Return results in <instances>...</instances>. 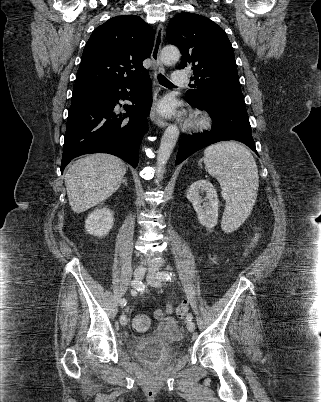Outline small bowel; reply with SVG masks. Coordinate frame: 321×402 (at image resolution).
<instances>
[{"instance_id": "obj_1", "label": "small bowel", "mask_w": 321, "mask_h": 402, "mask_svg": "<svg viewBox=\"0 0 321 402\" xmlns=\"http://www.w3.org/2000/svg\"><path fill=\"white\" fill-rule=\"evenodd\" d=\"M211 259L215 260V256L213 255ZM171 312L172 308L168 306L165 311H155L154 316L159 323V334L168 340L175 341L180 336V330L175 319L168 316Z\"/></svg>"}]
</instances>
